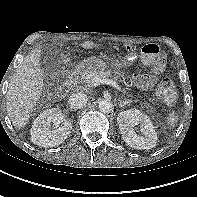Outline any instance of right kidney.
<instances>
[{
  "label": "right kidney",
  "instance_id": "obj_1",
  "mask_svg": "<svg viewBox=\"0 0 197 197\" xmlns=\"http://www.w3.org/2000/svg\"><path fill=\"white\" fill-rule=\"evenodd\" d=\"M51 122L55 125L54 129H51ZM71 129V121L63 115L60 109H47L33 122L30 130L31 140L42 147H54L67 139Z\"/></svg>",
  "mask_w": 197,
  "mask_h": 197
}]
</instances>
